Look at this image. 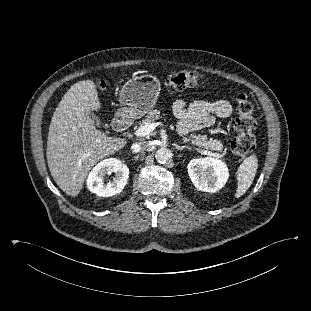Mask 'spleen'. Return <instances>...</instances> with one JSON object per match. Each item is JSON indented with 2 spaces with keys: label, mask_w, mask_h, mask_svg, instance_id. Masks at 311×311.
<instances>
[{
  "label": "spleen",
  "mask_w": 311,
  "mask_h": 311,
  "mask_svg": "<svg viewBox=\"0 0 311 311\" xmlns=\"http://www.w3.org/2000/svg\"><path fill=\"white\" fill-rule=\"evenodd\" d=\"M257 157L256 155H251L246 158L243 163L239 166L237 171V190L235 197H241L251 186L256 171H257Z\"/></svg>",
  "instance_id": "obj_1"
}]
</instances>
